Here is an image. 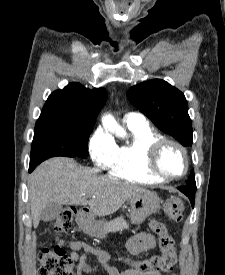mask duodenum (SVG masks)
<instances>
[{"label": "duodenum", "instance_id": "duodenum-1", "mask_svg": "<svg viewBox=\"0 0 225 275\" xmlns=\"http://www.w3.org/2000/svg\"><path fill=\"white\" fill-rule=\"evenodd\" d=\"M85 214H86V211L81 210V212H80V216H83V215H85Z\"/></svg>", "mask_w": 225, "mask_h": 275}]
</instances>
